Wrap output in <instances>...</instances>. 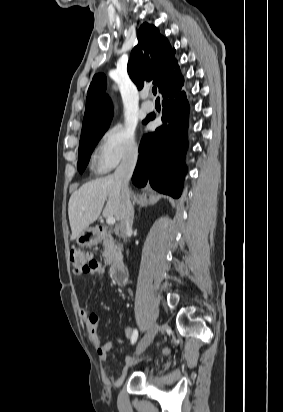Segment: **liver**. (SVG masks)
I'll use <instances>...</instances> for the list:
<instances>
[{
    "label": "liver",
    "instance_id": "6515ba94",
    "mask_svg": "<svg viewBox=\"0 0 283 412\" xmlns=\"http://www.w3.org/2000/svg\"><path fill=\"white\" fill-rule=\"evenodd\" d=\"M121 197L122 186L114 175L87 182L76 190L68 203L71 240L94 223L101 213L119 221Z\"/></svg>",
    "mask_w": 283,
    "mask_h": 412
}]
</instances>
